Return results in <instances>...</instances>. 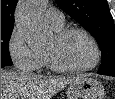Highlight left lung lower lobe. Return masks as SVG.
Masks as SVG:
<instances>
[{"label":"left lung lower lobe","mask_w":115,"mask_h":99,"mask_svg":"<svg viewBox=\"0 0 115 99\" xmlns=\"http://www.w3.org/2000/svg\"><path fill=\"white\" fill-rule=\"evenodd\" d=\"M102 75L115 76V73H110V74H102Z\"/></svg>","instance_id":"obj_1"}]
</instances>
